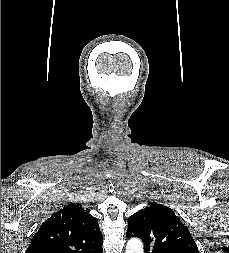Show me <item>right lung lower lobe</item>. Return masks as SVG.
<instances>
[{
  "instance_id": "right-lung-lower-lobe-1",
  "label": "right lung lower lobe",
  "mask_w": 229,
  "mask_h": 253,
  "mask_svg": "<svg viewBox=\"0 0 229 253\" xmlns=\"http://www.w3.org/2000/svg\"><path fill=\"white\" fill-rule=\"evenodd\" d=\"M103 252V250L101 249L100 251H98L97 253H102Z\"/></svg>"
}]
</instances>
